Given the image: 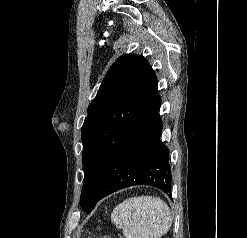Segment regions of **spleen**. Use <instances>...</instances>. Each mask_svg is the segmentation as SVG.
Masks as SVG:
<instances>
[{
    "label": "spleen",
    "instance_id": "obj_1",
    "mask_svg": "<svg viewBox=\"0 0 247 238\" xmlns=\"http://www.w3.org/2000/svg\"><path fill=\"white\" fill-rule=\"evenodd\" d=\"M111 221L126 238H160L172 224L168 205L158 197H131L118 204Z\"/></svg>",
    "mask_w": 247,
    "mask_h": 238
}]
</instances>
